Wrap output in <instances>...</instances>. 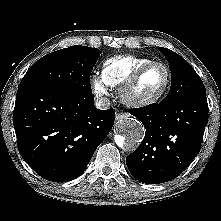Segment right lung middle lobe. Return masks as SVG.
Listing matches in <instances>:
<instances>
[{
	"mask_svg": "<svg viewBox=\"0 0 221 221\" xmlns=\"http://www.w3.org/2000/svg\"><path fill=\"white\" fill-rule=\"evenodd\" d=\"M101 51L87 46H71L45 55L35 62L20 86H40L92 94L91 71Z\"/></svg>",
	"mask_w": 221,
	"mask_h": 221,
	"instance_id": "dd1d6c3e",
	"label": "right lung middle lobe"
}]
</instances>
